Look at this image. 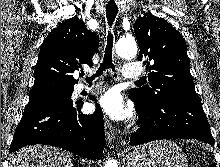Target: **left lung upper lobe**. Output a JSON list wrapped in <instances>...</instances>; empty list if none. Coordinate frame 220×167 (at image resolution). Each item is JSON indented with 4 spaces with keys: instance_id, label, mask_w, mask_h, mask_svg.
<instances>
[{
    "instance_id": "obj_1",
    "label": "left lung upper lobe",
    "mask_w": 220,
    "mask_h": 167,
    "mask_svg": "<svg viewBox=\"0 0 220 167\" xmlns=\"http://www.w3.org/2000/svg\"><path fill=\"white\" fill-rule=\"evenodd\" d=\"M134 32L140 49L138 59L146 58L144 63L151 71L150 86L131 89L129 94L145 104L157 103L169 93L198 97L183 36L166 20L151 13L136 20Z\"/></svg>"
}]
</instances>
